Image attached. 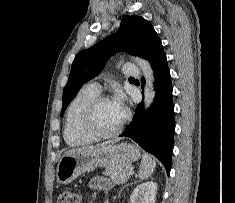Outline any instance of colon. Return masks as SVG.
<instances>
[{"mask_svg": "<svg viewBox=\"0 0 235 203\" xmlns=\"http://www.w3.org/2000/svg\"><path fill=\"white\" fill-rule=\"evenodd\" d=\"M58 203H81V194L79 191L66 189L59 195Z\"/></svg>", "mask_w": 235, "mask_h": 203, "instance_id": "5ec220e1", "label": "colon"}]
</instances>
